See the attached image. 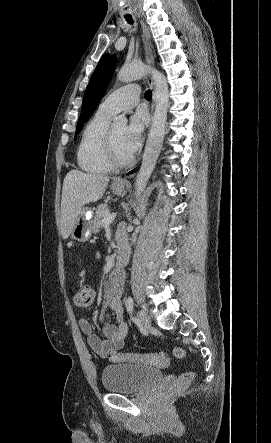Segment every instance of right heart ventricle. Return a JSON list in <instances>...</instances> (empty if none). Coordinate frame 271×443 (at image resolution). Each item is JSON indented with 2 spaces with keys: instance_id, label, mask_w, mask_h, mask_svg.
I'll use <instances>...</instances> for the list:
<instances>
[{
  "instance_id": "right-heart-ventricle-1",
  "label": "right heart ventricle",
  "mask_w": 271,
  "mask_h": 443,
  "mask_svg": "<svg viewBox=\"0 0 271 443\" xmlns=\"http://www.w3.org/2000/svg\"><path fill=\"white\" fill-rule=\"evenodd\" d=\"M109 117L97 111L83 129L76 159L79 167L87 173L105 174L113 169L107 149Z\"/></svg>"
}]
</instances>
